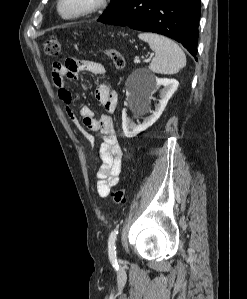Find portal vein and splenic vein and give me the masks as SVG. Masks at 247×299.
Segmentation results:
<instances>
[{"mask_svg":"<svg viewBox=\"0 0 247 299\" xmlns=\"http://www.w3.org/2000/svg\"><path fill=\"white\" fill-rule=\"evenodd\" d=\"M149 60H150V59H148V60H146V61H149ZM134 62H135V63H139L140 60H139L138 58H135Z\"/></svg>","mask_w":247,"mask_h":299,"instance_id":"portal-vein-and-splenic-vein-1","label":"portal vein and splenic vein"}]
</instances>
